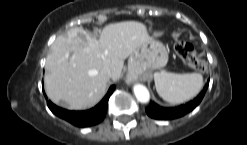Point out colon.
Instances as JSON below:
<instances>
[{
	"label": "colon",
	"instance_id": "obj_1",
	"mask_svg": "<svg viewBox=\"0 0 247 145\" xmlns=\"http://www.w3.org/2000/svg\"><path fill=\"white\" fill-rule=\"evenodd\" d=\"M174 49L188 66L199 71H205L207 69L206 63L196 56L192 44L184 41H176L174 43Z\"/></svg>",
	"mask_w": 247,
	"mask_h": 145
}]
</instances>
